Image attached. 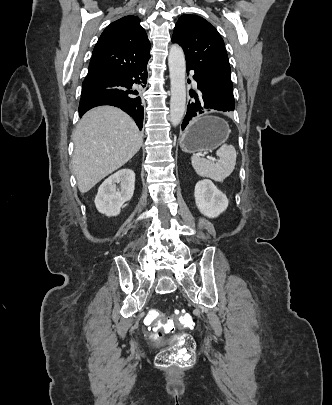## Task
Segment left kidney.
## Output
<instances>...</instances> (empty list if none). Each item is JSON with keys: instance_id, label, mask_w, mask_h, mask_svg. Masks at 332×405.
Masks as SVG:
<instances>
[{"instance_id": "5707ae66", "label": "left kidney", "mask_w": 332, "mask_h": 405, "mask_svg": "<svg viewBox=\"0 0 332 405\" xmlns=\"http://www.w3.org/2000/svg\"><path fill=\"white\" fill-rule=\"evenodd\" d=\"M195 202L200 213L208 218H216L228 207V199L209 180H201L195 185Z\"/></svg>"}]
</instances>
